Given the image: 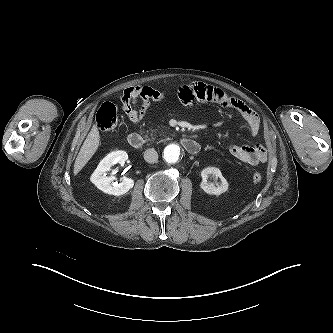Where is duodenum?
<instances>
[{"label":"duodenum","instance_id":"obj_1","mask_svg":"<svg viewBox=\"0 0 333 333\" xmlns=\"http://www.w3.org/2000/svg\"><path fill=\"white\" fill-rule=\"evenodd\" d=\"M128 143L133 148H141L144 145V138L138 134V133H130L128 135ZM181 144L183 148L188 152L189 154H197L200 151V144L195 141L194 139L183 137L181 139Z\"/></svg>","mask_w":333,"mask_h":333}]
</instances>
